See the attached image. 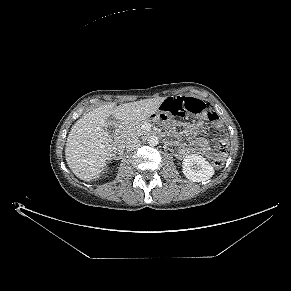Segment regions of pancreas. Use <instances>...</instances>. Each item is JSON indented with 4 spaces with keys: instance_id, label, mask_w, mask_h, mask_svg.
Returning a JSON list of instances; mask_svg holds the SVG:
<instances>
[{
    "instance_id": "1",
    "label": "pancreas",
    "mask_w": 291,
    "mask_h": 291,
    "mask_svg": "<svg viewBox=\"0 0 291 291\" xmlns=\"http://www.w3.org/2000/svg\"><path fill=\"white\" fill-rule=\"evenodd\" d=\"M142 122L137 123H131L126 126H124L121 130V137L124 141H126L130 137H137L142 135L143 133H146L142 129Z\"/></svg>"
}]
</instances>
